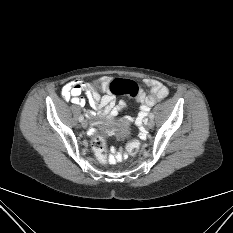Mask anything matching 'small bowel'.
I'll return each instance as SVG.
<instances>
[{
  "label": "small bowel",
  "mask_w": 233,
  "mask_h": 233,
  "mask_svg": "<svg viewBox=\"0 0 233 233\" xmlns=\"http://www.w3.org/2000/svg\"><path fill=\"white\" fill-rule=\"evenodd\" d=\"M100 90L104 93L100 96L92 84L84 82L81 79H75L62 87V97L66 101H71L78 106H85L86 100L81 97L85 91L87 100L92 110L86 112V116L91 118L95 115L105 118L110 124L114 123L115 117L126 107L123 101L116 102L115 96L109 91L108 78L104 77L99 80ZM148 91L139 89L137 100L140 103V112L135 119L137 125L142 124L150 108L157 102L164 100L168 96V88L160 81L147 78L144 80ZM124 156L121 149H113L110 160L112 162L120 161Z\"/></svg>",
  "instance_id": "c3829d8e"
}]
</instances>
